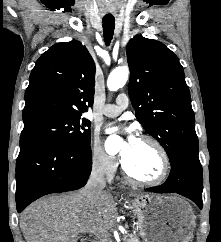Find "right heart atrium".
<instances>
[{"instance_id":"1","label":"right heart atrium","mask_w":221,"mask_h":242,"mask_svg":"<svg viewBox=\"0 0 221 242\" xmlns=\"http://www.w3.org/2000/svg\"><path fill=\"white\" fill-rule=\"evenodd\" d=\"M89 156L94 170L107 177L114 176L118 169L119 161L116 156L105 151L96 137L91 141Z\"/></svg>"}]
</instances>
